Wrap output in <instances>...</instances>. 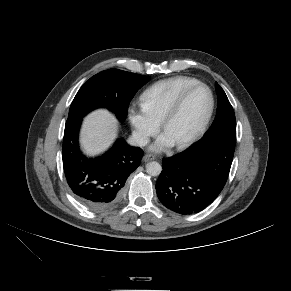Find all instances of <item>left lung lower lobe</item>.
Masks as SVG:
<instances>
[{"mask_svg": "<svg viewBox=\"0 0 291 291\" xmlns=\"http://www.w3.org/2000/svg\"><path fill=\"white\" fill-rule=\"evenodd\" d=\"M236 135L205 138L193 149L163 160L156 191L161 203L182 214H195L222 191L231 168Z\"/></svg>", "mask_w": 291, "mask_h": 291, "instance_id": "1", "label": "left lung lower lobe"}]
</instances>
